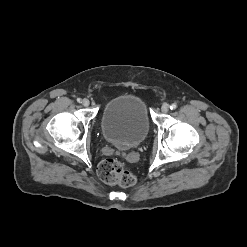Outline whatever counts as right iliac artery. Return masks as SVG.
Listing matches in <instances>:
<instances>
[{
	"instance_id": "1",
	"label": "right iliac artery",
	"mask_w": 247,
	"mask_h": 247,
	"mask_svg": "<svg viewBox=\"0 0 247 247\" xmlns=\"http://www.w3.org/2000/svg\"><path fill=\"white\" fill-rule=\"evenodd\" d=\"M77 102H79V103H80V102H81V99H80V98H78V99H77Z\"/></svg>"
}]
</instances>
